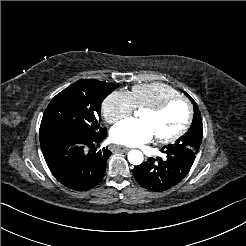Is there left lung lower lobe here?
<instances>
[{
    "label": "left lung lower lobe",
    "instance_id": "0a47b994",
    "mask_svg": "<svg viewBox=\"0 0 246 246\" xmlns=\"http://www.w3.org/2000/svg\"><path fill=\"white\" fill-rule=\"evenodd\" d=\"M166 158H149L133 169L136 181L151 191L162 192L178 184L189 172L196 153L187 148L164 147Z\"/></svg>",
    "mask_w": 246,
    "mask_h": 246
}]
</instances>
